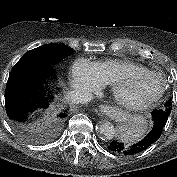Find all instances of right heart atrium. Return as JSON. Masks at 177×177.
Returning <instances> with one entry per match:
<instances>
[{
  "instance_id": "right-heart-atrium-1",
  "label": "right heart atrium",
  "mask_w": 177,
  "mask_h": 177,
  "mask_svg": "<svg viewBox=\"0 0 177 177\" xmlns=\"http://www.w3.org/2000/svg\"><path fill=\"white\" fill-rule=\"evenodd\" d=\"M71 81L76 89H83L88 92H96L104 84L94 64L84 58H78L73 62Z\"/></svg>"
}]
</instances>
